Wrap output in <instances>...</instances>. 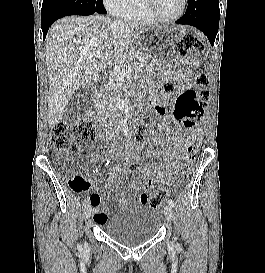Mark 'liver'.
Listing matches in <instances>:
<instances>
[{
	"mask_svg": "<svg viewBox=\"0 0 265 273\" xmlns=\"http://www.w3.org/2000/svg\"><path fill=\"white\" fill-rule=\"evenodd\" d=\"M143 30L141 25L124 24L102 15L69 16L50 28L46 38L50 127L63 117L75 91L93 86L100 77L99 72L131 49ZM97 53L101 54L98 64Z\"/></svg>",
	"mask_w": 265,
	"mask_h": 273,
	"instance_id": "obj_1",
	"label": "liver"
}]
</instances>
